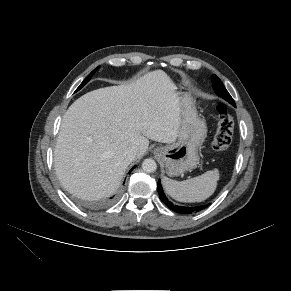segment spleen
I'll use <instances>...</instances> for the list:
<instances>
[{
  "label": "spleen",
  "instance_id": "1",
  "mask_svg": "<svg viewBox=\"0 0 291 291\" xmlns=\"http://www.w3.org/2000/svg\"><path fill=\"white\" fill-rule=\"evenodd\" d=\"M218 180L219 171L214 169L181 182L163 177L162 183L166 193L173 199L191 203L209 198L215 192Z\"/></svg>",
  "mask_w": 291,
  "mask_h": 291
}]
</instances>
